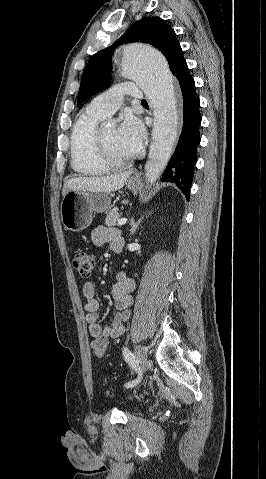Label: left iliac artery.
I'll list each match as a JSON object with an SVG mask.
<instances>
[{
    "label": "left iliac artery",
    "instance_id": "44dca946",
    "mask_svg": "<svg viewBox=\"0 0 266 479\" xmlns=\"http://www.w3.org/2000/svg\"><path fill=\"white\" fill-rule=\"evenodd\" d=\"M123 356L125 358V361L130 365L131 369L140 372L138 379L130 381L124 385L127 388L134 387L140 382V380L143 379V376L141 374L142 367L127 347H123Z\"/></svg>",
    "mask_w": 266,
    "mask_h": 479
}]
</instances>
